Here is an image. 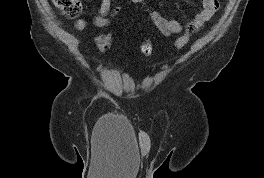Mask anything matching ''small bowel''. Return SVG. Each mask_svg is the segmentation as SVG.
<instances>
[{"instance_id":"c3829d8e","label":"small bowel","mask_w":264,"mask_h":178,"mask_svg":"<svg viewBox=\"0 0 264 178\" xmlns=\"http://www.w3.org/2000/svg\"><path fill=\"white\" fill-rule=\"evenodd\" d=\"M132 4L140 5L147 13L154 26L164 36H171L182 31V24L173 17H166L153 10L147 0H130ZM219 8L218 0H202V9L194 17V19L187 24L185 32L193 34L201 29V27L209 21ZM122 10L121 6L112 8L111 0H100L99 11L93 18V23L98 28L108 26L110 17L117 16ZM87 26V21L79 18L75 22V27L79 31H83Z\"/></svg>"}]
</instances>
